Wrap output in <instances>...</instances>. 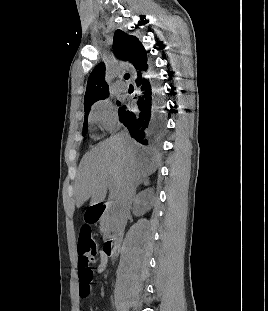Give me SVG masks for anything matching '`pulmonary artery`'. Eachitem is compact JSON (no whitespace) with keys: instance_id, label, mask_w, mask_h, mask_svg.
I'll return each instance as SVG.
<instances>
[{"instance_id":"obj_1","label":"pulmonary artery","mask_w":268,"mask_h":311,"mask_svg":"<svg viewBox=\"0 0 268 311\" xmlns=\"http://www.w3.org/2000/svg\"><path fill=\"white\" fill-rule=\"evenodd\" d=\"M118 88L122 91L126 90L127 89V86L126 84H124L123 82H119L118 83Z\"/></svg>"}]
</instances>
